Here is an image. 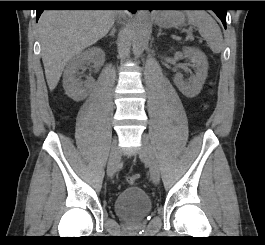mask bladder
I'll return each instance as SVG.
<instances>
[{
    "label": "bladder",
    "mask_w": 265,
    "mask_h": 245,
    "mask_svg": "<svg viewBox=\"0 0 265 245\" xmlns=\"http://www.w3.org/2000/svg\"><path fill=\"white\" fill-rule=\"evenodd\" d=\"M114 211L120 218L135 222L151 213L152 202L141 188H126L116 197Z\"/></svg>",
    "instance_id": "bladder-1"
}]
</instances>
